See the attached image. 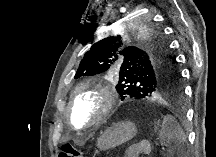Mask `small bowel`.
Here are the masks:
<instances>
[{
    "label": "small bowel",
    "mask_w": 216,
    "mask_h": 157,
    "mask_svg": "<svg viewBox=\"0 0 216 157\" xmlns=\"http://www.w3.org/2000/svg\"><path fill=\"white\" fill-rule=\"evenodd\" d=\"M143 153V150H139L137 152H134L133 150H129L126 152L125 156L126 157H137Z\"/></svg>",
    "instance_id": "c3829d8e"
}]
</instances>
